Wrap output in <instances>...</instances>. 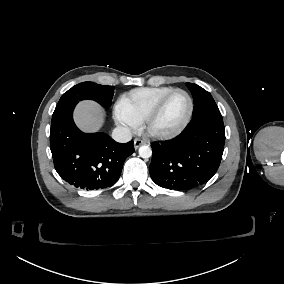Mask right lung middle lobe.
Here are the masks:
<instances>
[{"label": "right lung middle lobe", "mask_w": 284, "mask_h": 284, "mask_svg": "<svg viewBox=\"0 0 284 284\" xmlns=\"http://www.w3.org/2000/svg\"><path fill=\"white\" fill-rule=\"evenodd\" d=\"M113 93V86L99 85L89 81L79 83L62 95L55 110L72 103L76 104L85 99L94 100L103 107L108 108L111 106Z\"/></svg>", "instance_id": "right-lung-middle-lobe-1"}]
</instances>
